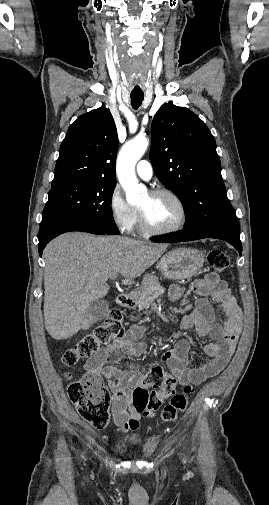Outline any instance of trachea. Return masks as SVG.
<instances>
[{
  "mask_svg": "<svg viewBox=\"0 0 269 505\" xmlns=\"http://www.w3.org/2000/svg\"><path fill=\"white\" fill-rule=\"evenodd\" d=\"M130 97L132 107L137 109L144 99V93L142 91H132Z\"/></svg>",
  "mask_w": 269,
  "mask_h": 505,
  "instance_id": "obj_1",
  "label": "trachea"
}]
</instances>
